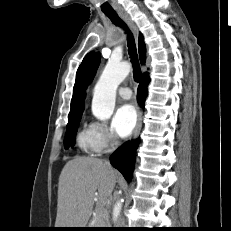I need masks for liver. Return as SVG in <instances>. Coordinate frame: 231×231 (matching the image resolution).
Masks as SVG:
<instances>
[{
  "label": "liver",
  "instance_id": "liver-1",
  "mask_svg": "<svg viewBox=\"0 0 231 231\" xmlns=\"http://www.w3.org/2000/svg\"><path fill=\"white\" fill-rule=\"evenodd\" d=\"M119 173L98 158L75 157L59 177L56 228H85L95 193L103 204L111 197Z\"/></svg>",
  "mask_w": 231,
  "mask_h": 231
}]
</instances>
